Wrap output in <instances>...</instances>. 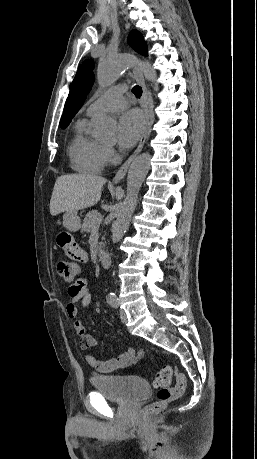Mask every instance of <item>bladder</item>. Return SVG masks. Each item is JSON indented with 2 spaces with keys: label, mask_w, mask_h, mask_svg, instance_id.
I'll use <instances>...</instances> for the list:
<instances>
[{
  "label": "bladder",
  "mask_w": 257,
  "mask_h": 459,
  "mask_svg": "<svg viewBox=\"0 0 257 459\" xmlns=\"http://www.w3.org/2000/svg\"><path fill=\"white\" fill-rule=\"evenodd\" d=\"M92 385L107 399L121 404L137 402L151 393L145 380L126 374L97 375Z\"/></svg>",
  "instance_id": "bladder-1"
}]
</instances>
